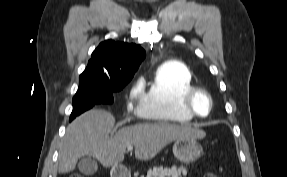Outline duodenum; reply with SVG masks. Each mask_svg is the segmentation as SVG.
I'll return each instance as SVG.
<instances>
[{
    "mask_svg": "<svg viewBox=\"0 0 287 177\" xmlns=\"http://www.w3.org/2000/svg\"><path fill=\"white\" fill-rule=\"evenodd\" d=\"M112 177H130L127 169L125 167H116L113 170Z\"/></svg>",
    "mask_w": 287,
    "mask_h": 177,
    "instance_id": "1",
    "label": "duodenum"
}]
</instances>
